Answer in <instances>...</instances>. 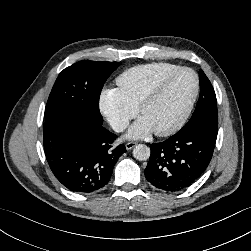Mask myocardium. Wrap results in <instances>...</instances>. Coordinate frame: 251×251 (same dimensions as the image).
<instances>
[{"label": "myocardium", "mask_w": 251, "mask_h": 251, "mask_svg": "<svg viewBox=\"0 0 251 251\" xmlns=\"http://www.w3.org/2000/svg\"><path fill=\"white\" fill-rule=\"evenodd\" d=\"M182 72H188L194 76L195 87H194L193 94H192L184 112L182 113L180 118L171 127L164 129V130L154 131L155 135H157L159 137H166V136H170V135L176 133L185 125V123L189 119L191 112L194 108V105L196 103V100L198 98L199 91H200V80H199L198 74L194 70H192L191 68H188V67H180V68L174 70L173 72H171L168 75H166L165 77H163L160 81H158L150 89V91L145 95V97L142 99V101L140 102V104L138 106V113L140 115H142V112L144 111V109L146 107H148L150 104H152L160 96V94L163 92V90L166 88V86L169 84V82L175 76H177L178 74H180Z\"/></svg>", "instance_id": "f54148a6"}]
</instances>
